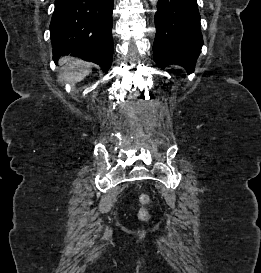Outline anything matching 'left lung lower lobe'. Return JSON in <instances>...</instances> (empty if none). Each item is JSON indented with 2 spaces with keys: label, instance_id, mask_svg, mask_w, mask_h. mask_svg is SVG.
<instances>
[{
  "label": "left lung lower lobe",
  "instance_id": "0a47b994",
  "mask_svg": "<svg viewBox=\"0 0 261 273\" xmlns=\"http://www.w3.org/2000/svg\"><path fill=\"white\" fill-rule=\"evenodd\" d=\"M154 60L158 67L179 64L194 71L203 45L196 0H158Z\"/></svg>",
  "mask_w": 261,
  "mask_h": 273
}]
</instances>
